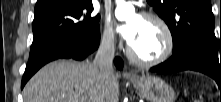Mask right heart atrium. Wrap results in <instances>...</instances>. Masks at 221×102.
<instances>
[{
    "instance_id": "1",
    "label": "right heart atrium",
    "mask_w": 221,
    "mask_h": 102,
    "mask_svg": "<svg viewBox=\"0 0 221 102\" xmlns=\"http://www.w3.org/2000/svg\"><path fill=\"white\" fill-rule=\"evenodd\" d=\"M101 45L106 49H113L116 45V35L109 19H105L101 32Z\"/></svg>"
}]
</instances>
